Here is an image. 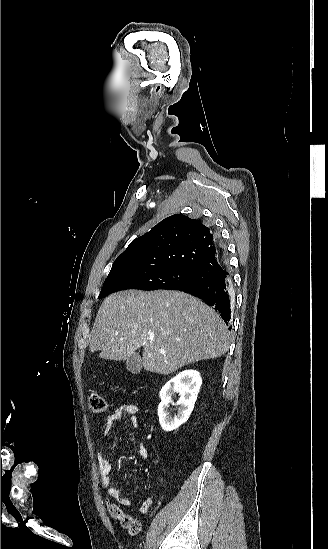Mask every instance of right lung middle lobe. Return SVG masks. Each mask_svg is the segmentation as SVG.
<instances>
[{
    "label": "right lung middle lobe",
    "mask_w": 328,
    "mask_h": 549,
    "mask_svg": "<svg viewBox=\"0 0 328 549\" xmlns=\"http://www.w3.org/2000/svg\"><path fill=\"white\" fill-rule=\"evenodd\" d=\"M206 278L202 274L178 267L135 264L109 273L99 299L119 290H177Z\"/></svg>",
    "instance_id": "dd1d6c3e"
}]
</instances>
